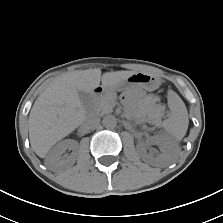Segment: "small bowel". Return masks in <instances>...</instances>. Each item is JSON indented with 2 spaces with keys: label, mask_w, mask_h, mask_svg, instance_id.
I'll use <instances>...</instances> for the list:
<instances>
[{
  "label": "small bowel",
  "mask_w": 223,
  "mask_h": 223,
  "mask_svg": "<svg viewBox=\"0 0 223 223\" xmlns=\"http://www.w3.org/2000/svg\"><path fill=\"white\" fill-rule=\"evenodd\" d=\"M144 100L147 107L151 109V117L157 120L161 112V107L157 104L156 97L153 95H148Z\"/></svg>",
  "instance_id": "c3829d8e"
}]
</instances>
